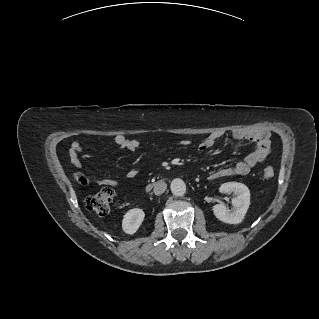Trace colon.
<instances>
[{"label": "colon", "mask_w": 319, "mask_h": 319, "mask_svg": "<svg viewBox=\"0 0 319 319\" xmlns=\"http://www.w3.org/2000/svg\"><path fill=\"white\" fill-rule=\"evenodd\" d=\"M275 171L272 167L263 169V178L269 180L273 178ZM113 198V192L109 188H104L94 195L89 196L85 200V207L87 210L99 215L105 216L110 210V203Z\"/></svg>", "instance_id": "1"}]
</instances>
